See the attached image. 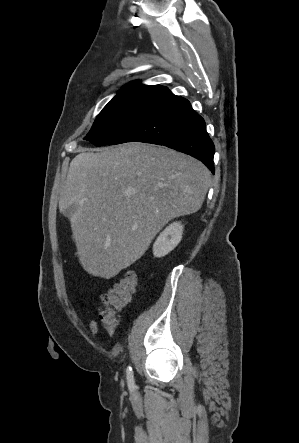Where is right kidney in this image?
<instances>
[{
	"instance_id": "obj_1",
	"label": "right kidney",
	"mask_w": 299,
	"mask_h": 443,
	"mask_svg": "<svg viewBox=\"0 0 299 443\" xmlns=\"http://www.w3.org/2000/svg\"><path fill=\"white\" fill-rule=\"evenodd\" d=\"M183 225L181 222H174L160 233L153 245L155 257H163L171 252L181 241Z\"/></svg>"
}]
</instances>
